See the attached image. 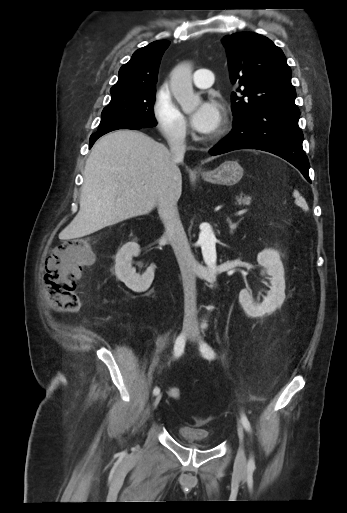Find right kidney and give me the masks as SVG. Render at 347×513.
<instances>
[{"mask_svg": "<svg viewBox=\"0 0 347 513\" xmlns=\"http://www.w3.org/2000/svg\"><path fill=\"white\" fill-rule=\"evenodd\" d=\"M140 252L136 242H128L117 252L115 258V274L117 278L134 292L146 291L154 279V266L149 267L142 275L132 267V257Z\"/></svg>", "mask_w": 347, "mask_h": 513, "instance_id": "ca27d5eb", "label": "right kidney"}]
</instances>
